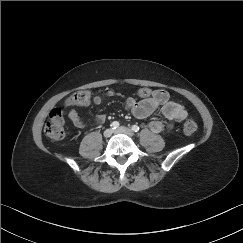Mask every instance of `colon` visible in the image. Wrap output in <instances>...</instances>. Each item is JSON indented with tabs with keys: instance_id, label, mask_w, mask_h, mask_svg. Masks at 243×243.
<instances>
[{
	"instance_id": "colon-1",
	"label": "colon",
	"mask_w": 243,
	"mask_h": 243,
	"mask_svg": "<svg viewBox=\"0 0 243 243\" xmlns=\"http://www.w3.org/2000/svg\"><path fill=\"white\" fill-rule=\"evenodd\" d=\"M91 98L88 89H80L68 97L64 103L65 107L85 106L89 104ZM198 126L193 120L185 122L183 130L186 134L190 135L196 132ZM45 135L54 140L60 141L65 137V118L59 108L51 111L49 120L44 126Z\"/></svg>"
}]
</instances>
